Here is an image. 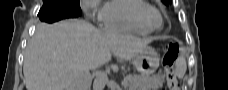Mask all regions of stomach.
I'll use <instances>...</instances> for the list:
<instances>
[{"mask_svg":"<svg viewBox=\"0 0 228 90\" xmlns=\"http://www.w3.org/2000/svg\"><path fill=\"white\" fill-rule=\"evenodd\" d=\"M159 55L152 47H146L133 60L136 70L143 76H149L159 67Z\"/></svg>","mask_w":228,"mask_h":90,"instance_id":"obj_1","label":"stomach"}]
</instances>
